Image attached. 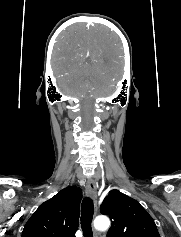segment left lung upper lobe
I'll return each instance as SVG.
<instances>
[{
  "label": "left lung upper lobe",
  "instance_id": "1",
  "mask_svg": "<svg viewBox=\"0 0 181 237\" xmlns=\"http://www.w3.org/2000/svg\"><path fill=\"white\" fill-rule=\"evenodd\" d=\"M100 211L112 220L107 237H160L149 213L137 200L119 190L109 191Z\"/></svg>",
  "mask_w": 181,
  "mask_h": 237
}]
</instances>
